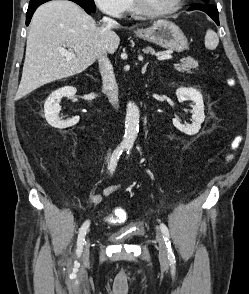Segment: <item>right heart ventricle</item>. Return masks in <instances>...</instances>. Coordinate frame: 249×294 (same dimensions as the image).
Listing matches in <instances>:
<instances>
[{"label": "right heart ventricle", "instance_id": "e07e8e85", "mask_svg": "<svg viewBox=\"0 0 249 294\" xmlns=\"http://www.w3.org/2000/svg\"><path fill=\"white\" fill-rule=\"evenodd\" d=\"M127 11L131 12V13H136V9L133 3V0H129L128 1V7H127Z\"/></svg>", "mask_w": 249, "mask_h": 294}]
</instances>
